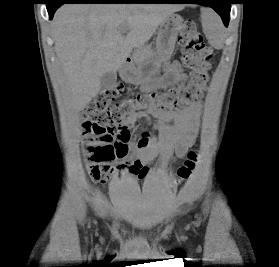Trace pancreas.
I'll return each instance as SVG.
<instances>
[{"label":"pancreas","mask_w":279,"mask_h":267,"mask_svg":"<svg viewBox=\"0 0 279 267\" xmlns=\"http://www.w3.org/2000/svg\"><path fill=\"white\" fill-rule=\"evenodd\" d=\"M155 53L149 46L139 47L133 54L134 61L140 63L145 60L152 59Z\"/></svg>","instance_id":"obj_1"}]
</instances>
